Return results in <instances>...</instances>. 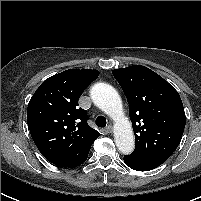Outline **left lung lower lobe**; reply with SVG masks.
Wrapping results in <instances>:
<instances>
[{"label": "left lung lower lobe", "mask_w": 201, "mask_h": 201, "mask_svg": "<svg viewBox=\"0 0 201 201\" xmlns=\"http://www.w3.org/2000/svg\"><path fill=\"white\" fill-rule=\"evenodd\" d=\"M166 160L163 159H157V160H139L136 158H133L129 155L124 156V162L125 164L137 171H148L152 170L158 166H160L162 163H164Z\"/></svg>", "instance_id": "obj_1"}]
</instances>
